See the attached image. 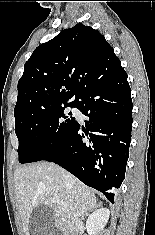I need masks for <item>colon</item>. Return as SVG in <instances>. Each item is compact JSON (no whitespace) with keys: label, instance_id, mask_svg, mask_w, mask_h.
Instances as JSON below:
<instances>
[{"label":"colon","instance_id":"5ec220e1","mask_svg":"<svg viewBox=\"0 0 155 235\" xmlns=\"http://www.w3.org/2000/svg\"><path fill=\"white\" fill-rule=\"evenodd\" d=\"M52 235H59V234H57V233H53Z\"/></svg>","mask_w":155,"mask_h":235}]
</instances>
